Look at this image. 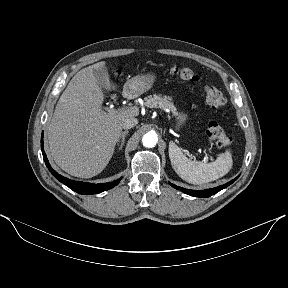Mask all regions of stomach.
Listing matches in <instances>:
<instances>
[{"label": "stomach", "instance_id": "1", "mask_svg": "<svg viewBox=\"0 0 288 288\" xmlns=\"http://www.w3.org/2000/svg\"><path fill=\"white\" fill-rule=\"evenodd\" d=\"M155 81L156 75L152 72L137 75L126 82L124 91L130 97H137L150 90ZM175 118L177 120V128H179L186 122L188 116L186 113L179 112L175 114Z\"/></svg>", "mask_w": 288, "mask_h": 288}]
</instances>
